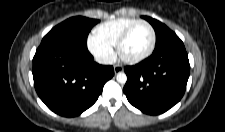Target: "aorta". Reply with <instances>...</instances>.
<instances>
[{
  "mask_svg": "<svg viewBox=\"0 0 225 132\" xmlns=\"http://www.w3.org/2000/svg\"><path fill=\"white\" fill-rule=\"evenodd\" d=\"M117 81L121 84H125L126 81H127V76L125 73L123 72H120L117 74V77H116Z\"/></svg>",
  "mask_w": 225,
  "mask_h": 132,
  "instance_id": "aorta-1",
  "label": "aorta"
}]
</instances>
